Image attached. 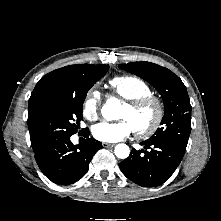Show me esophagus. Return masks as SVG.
Wrapping results in <instances>:
<instances>
[{
	"instance_id": "esophagus-1",
	"label": "esophagus",
	"mask_w": 221,
	"mask_h": 221,
	"mask_svg": "<svg viewBox=\"0 0 221 221\" xmlns=\"http://www.w3.org/2000/svg\"><path fill=\"white\" fill-rule=\"evenodd\" d=\"M114 145H115V144H113V143H105V142L102 143V146H103L104 148L113 147Z\"/></svg>"
}]
</instances>
